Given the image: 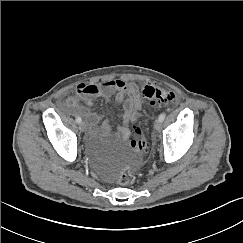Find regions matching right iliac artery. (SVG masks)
I'll list each match as a JSON object with an SVG mask.
<instances>
[{"label":"right iliac artery","instance_id":"82829eb1","mask_svg":"<svg viewBox=\"0 0 243 243\" xmlns=\"http://www.w3.org/2000/svg\"><path fill=\"white\" fill-rule=\"evenodd\" d=\"M81 121H82V120H81V118H80L79 116L76 117V122H77V123H81Z\"/></svg>","mask_w":243,"mask_h":243}]
</instances>
